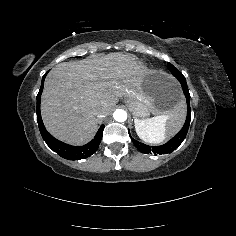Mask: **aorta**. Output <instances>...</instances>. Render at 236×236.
Masks as SVG:
<instances>
[{"instance_id": "1", "label": "aorta", "mask_w": 236, "mask_h": 236, "mask_svg": "<svg viewBox=\"0 0 236 236\" xmlns=\"http://www.w3.org/2000/svg\"><path fill=\"white\" fill-rule=\"evenodd\" d=\"M113 117L118 122H124L127 119V113H126V111H124L122 109H117L114 112Z\"/></svg>"}]
</instances>
